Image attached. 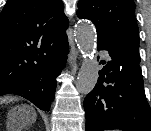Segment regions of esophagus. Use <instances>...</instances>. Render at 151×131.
Listing matches in <instances>:
<instances>
[{"mask_svg":"<svg viewBox=\"0 0 151 131\" xmlns=\"http://www.w3.org/2000/svg\"><path fill=\"white\" fill-rule=\"evenodd\" d=\"M73 54L77 56V52L70 54V56H69V58H70V63H72V60H73V57H74Z\"/></svg>","mask_w":151,"mask_h":131,"instance_id":"obj_1","label":"esophagus"}]
</instances>
